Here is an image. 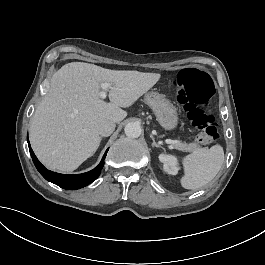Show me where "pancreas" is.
Instances as JSON below:
<instances>
[{
    "label": "pancreas",
    "instance_id": "cf45deb5",
    "mask_svg": "<svg viewBox=\"0 0 265 265\" xmlns=\"http://www.w3.org/2000/svg\"><path fill=\"white\" fill-rule=\"evenodd\" d=\"M173 147L177 150L185 151V152H193L195 150L200 149V145L197 143H185L178 141V143L173 144Z\"/></svg>",
    "mask_w": 265,
    "mask_h": 265
}]
</instances>
